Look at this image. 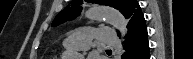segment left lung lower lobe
<instances>
[{"label": "left lung lower lobe", "instance_id": "0a47b994", "mask_svg": "<svg viewBox=\"0 0 193 59\" xmlns=\"http://www.w3.org/2000/svg\"><path fill=\"white\" fill-rule=\"evenodd\" d=\"M123 59H149L147 28L142 12H135L129 23Z\"/></svg>", "mask_w": 193, "mask_h": 59}]
</instances>
